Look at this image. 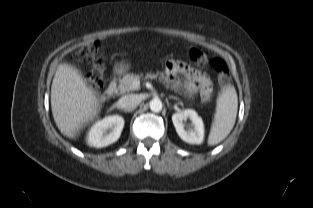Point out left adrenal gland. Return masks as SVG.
<instances>
[{
	"instance_id": "1",
	"label": "left adrenal gland",
	"mask_w": 313,
	"mask_h": 208,
	"mask_svg": "<svg viewBox=\"0 0 313 208\" xmlns=\"http://www.w3.org/2000/svg\"><path fill=\"white\" fill-rule=\"evenodd\" d=\"M169 98L179 101V98H177V97H175V96H169Z\"/></svg>"
}]
</instances>
